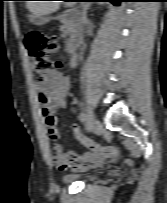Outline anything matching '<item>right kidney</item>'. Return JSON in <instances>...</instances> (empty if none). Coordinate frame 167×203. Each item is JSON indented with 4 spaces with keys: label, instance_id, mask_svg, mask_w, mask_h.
<instances>
[{
    "label": "right kidney",
    "instance_id": "1",
    "mask_svg": "<svg viewBox=\"0 0 167 203\" xmlns=\"http://www.w3.org/2000/svg\"><path fill=\"white\" fill-rule=\"evenodd\" d=\"M77 62H78V56L77 55H73L72 59H71V67L74 68L77 66Z\"/></svg>",
    "mask_w": 167,
    "mask_h": 203
}]
</instances>
